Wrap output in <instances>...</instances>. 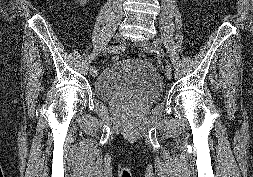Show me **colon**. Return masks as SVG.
<instances>
[{"label":"colon","instance_id":"1","mask_svg":"<svg viewBox=\"0 0 253 177\" xmlns=\"http://www.w3.org/2000/svg\"><path fill=\"white\" fill-rule=\"evenodd\" d=\"M120 58H119V55H113L112 57V60L115 62V61H118Z\"/></svg>","mask_w":253,"mask_h":177}]
</instances>
